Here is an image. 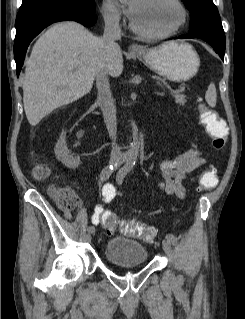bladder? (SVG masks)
Wrapping results in <instances>:
<instances>
[{
	"instance_id": "1",
	"label": "bladder",
	"mask_w": 245,
	"mask_h": 319,
	"mask_svg": "<svg viewBox=\"0 0 245 319\" xmlns=\"http://www.w3.org/2000/svg\"><path fill=\"white\" fill-rule=\"evenodd\" d=\"M105 259L118 267H133L148 260L147 249L138 241L126 237L110 239L103 249Z\"/></svg>"
}]
</instances>
